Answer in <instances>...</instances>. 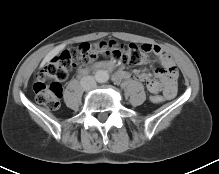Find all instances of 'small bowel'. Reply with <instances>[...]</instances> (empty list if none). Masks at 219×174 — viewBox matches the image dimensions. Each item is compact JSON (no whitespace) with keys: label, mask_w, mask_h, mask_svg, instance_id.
Returning <instances> with one entry per match:
<instances>
[{"label":"small bowel","mask_w":219,"mask_h":174,"mask_svg":"<svg viewBox=\"0 0 219 174\" xmlns=\"http://www.w3.org/2000/svg\"><path fill=\"white\" fill-rule=\"evenodd\" d=\"M149 51L156 54L162 65L155 71V75L160 79L161 83L149 79V75L145 72L139 73L137 79L145 82V88L151 93L165 94L166 99H172L177 92L178 70L170 55L158 45H143ZM130 74L127 71H118L114 74L113 80L120 82L128 78Z\"/></svg>","instance_id":"1"}]
</instances>
